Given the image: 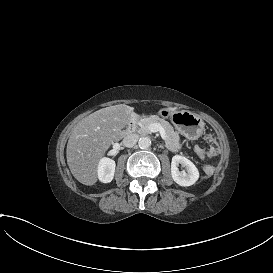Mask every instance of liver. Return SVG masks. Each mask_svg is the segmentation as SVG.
Returning <instances> with one entry per match:
<instances>
[{
	"label": "liver",
	"mask_w": 273,
	"mask_h": 273,
	"mask_svg": "<svg viewBox=\"0 0 273 273\" xmlns=\"http://www.w3.org/2000/svg\"><path fill=\"white\" fill-rule=\"evenodd\" d=\"M179 108L165 109L168 114ZM135 108L119 104L89 114L73 129L66 148L67 164L73 177L83 185L98 181L100 161L114 142L123 138L121 131L134 117Z\"/></svg>",
	"instance_id": "liver-1"
}]
</instances>
